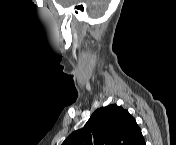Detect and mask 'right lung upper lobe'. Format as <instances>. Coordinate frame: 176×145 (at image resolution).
<instances>
[{"mask_svg":"<svg viewBox=\"0 0 176 145\" xmlns=\"http://www.w3.org/2000/svg\"><path fill=\"white\" fill-rule=\"evenodd\" d=\"M62 145H145L130 113L115 104L97 109L83 128L71 133Z\"/></svg>","mask_w":176,"mask_h":145,"instance_id":"obj_1","label":"right lung upper lobe"}]
</instances>
